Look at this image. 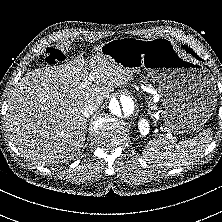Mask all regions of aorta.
I'll use <instances>...</instances> for the list:
<instances>
[{
  "instance_id": "762f6f07",
  "label": "aorta",
  "mask_w": 222,
  "mask_h": 222,
  "mask_svg": "<svg viewBox=\"0 0 222 222\" xmlns=\"http://www.w3.org/2000/svg\"><path fill=\"white\" fill-rule=\"evenodd\" d=\"M109 112L116 119L123 120L135 112V101L132 96L123 94L119 99L113 98L109 103Z\"/></svg>"
}]
</instances>
